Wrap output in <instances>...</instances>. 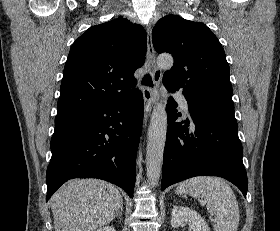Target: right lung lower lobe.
<instances>
[{
	"mask_svg": "<svg viewBox=\"0 0 280 231\" xmlns=\"http://www.w3.org/2000/svg\"><path fill=\"white\" fill-rule=\"evenodd\" d=\"M144 102L139 91L111 105L55 119L47 197L72 178H98L133 195Z\"/></svg>",
	"mask_w": 280,
	"mask_h": 231,
	"instance_id": "obj_1",
	"label": "right lung lower lobe"
}]
</instances>
